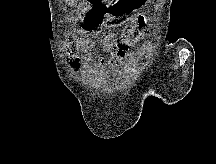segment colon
<instances>
[{
  "instance_id": "5ec220e1",
  "label": "colon",
  "mask_w": 216,
  "mask_h": 164,
  "mask_svg": "<svg viewBox=\"0 0 216 164\" xmlns=\"http://www.w3.org/2000/svg\"><path fill=\"white\" fill-rule=\"evenodd\" d=\"M83 45H84L83 41L79 40L78 38L74 36L70 37L67 41L68 50L72 54L77 53Z\"/></svg>"
}]
</instances>
